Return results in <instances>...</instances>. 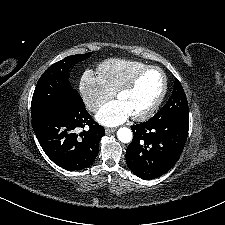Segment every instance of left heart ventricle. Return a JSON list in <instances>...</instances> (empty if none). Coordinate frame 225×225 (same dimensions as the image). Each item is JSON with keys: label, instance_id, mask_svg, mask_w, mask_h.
I'll list each match as a JSON object with an SVG mask.
<instances>
[{"label": "left heart ventricle", "instance_id": "obj_1", "mask_svg": "<svg viewBox=\"0 0 225 225\" xmlns=\"http://www.w3.org/2000/svg\"><path fill=\"white\" fill-rule=\"evenodd\" d=\"M162 88V76L158 71L145 72L135 87L120 95L118 100L131 116L147 111L156 100Z\"/></svg>", "mask_w": 225, "mask_h": 225}]
</instances>
